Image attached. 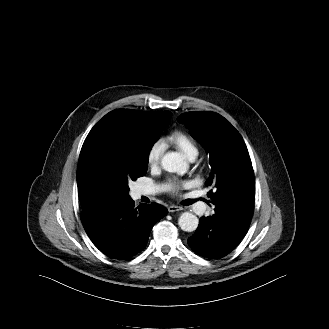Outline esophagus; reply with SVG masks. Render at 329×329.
<instances>
[{
  "label": "esophagus",
  "mask_w": 329,
  "mask_h": 329,
  "mask_svg": "<svg viewBox=\"0 0 329 329\" xmlns=\"http://www.w3.org/2000/svg\"><path fill=\"white\" fill-rule=\"evenodd\" d=\"M180 210H183V208L180 207V206L170 205V206L168 207V211H169V212H176V211H180Z\"/></svg>",
  "instance_id": "34e87169"
}]
</instances>
